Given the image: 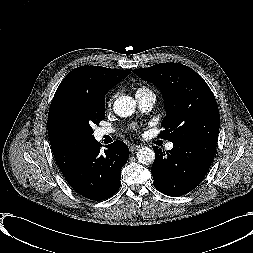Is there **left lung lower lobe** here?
Wrapping results in <instances>:
<instances>
[{
    "mask_svg": "<svg viewBox=\"0 0 253 253\" xmlns=\"http://www.w3.org/2000/svg\"><path fill=\"white\" fill-rule=\"evenodd\" d=\"M166 153L153 146L155 160L151 172L154 186L168 196H181L192 191L205 177L216 151V143L184 141L173 143Z\"/></svg>",
    "mask_w": 253,
    "mask_h": 253,
    "instance_id": "0a47b994",
    "label": "left lung lower lobe"
}]
</instances>
